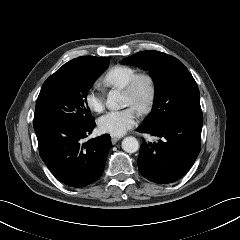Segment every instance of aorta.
Segmentation results:
<instances>
[{
  "label": "aorta",
  "instance_id": "762f6f07",
  "mask_svg": "<svg viewBox=\"0 0 240 240\" xmlns=\"http://www.w3.org/2000/svg\"><path fill=\"white\" fill-rule=\"evenodd\" d=\"M106 106L110 110L124 108L123 96L117 90H111L108 94ZM122 149L128 153H135L139 149L138 140L133 137H125L122 141Z\"/></svg>",
  "mask_w": 240,
  "mask_h": 240
}]
</instances>
